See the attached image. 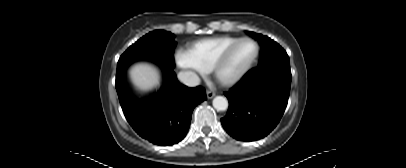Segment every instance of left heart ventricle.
Segmentation results:
<instances>
[{
  "label": "left heart ventricle",
  "mask_w": 406,
  "mask_h": 168,
  "mask_svg": "<svg viewBox=\"0 0 406 168\" xmlns=\"http://www.w3.org/2000/svg\"><path fill=\"white\" fill-rule=\"evenodd\" d=\"M254 54V46L249 42H243L237 46L226 63L222 75L228 77L242 68Z\"/></svg>",
  "instance_id": "1"
}]
</instances>
